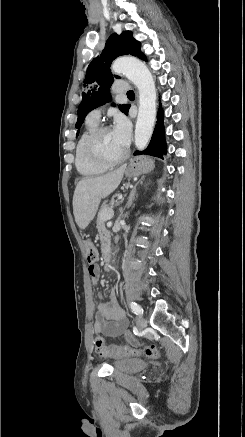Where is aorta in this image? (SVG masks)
I'll return each instance as SVG.
<instances>
[{
    "label": "aorta",
    "mask_w": 245,
    "mask_h": 437,
    "mask_svg": "<svg viewBox=\"0 0 245 437\" xmlns=\"http://www.w3.org/2000/svg\"><path fill=\"white\" fill-rule=\"evenodd\" d=\"M112 71L124 74L139 91V109L135 128V145L143 150L153 133L156 119V88L147 66L137 58L121 57L114 61Z\"/></svg>",
    "instance_id": "762f6f07"
}]
</instances>
